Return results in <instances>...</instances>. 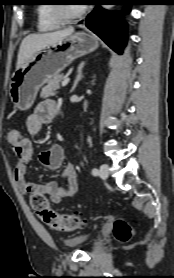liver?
Segmentation results:
<instances>
[{
  "mask_svg": "<svg viewBox=\"0 0 174 278\" xmlns=\"http://www.w3.org/2000/svg\"><path fill=\"white\" fill-rule=\"evenodd\" d=\"M74 32L73 27L49 33L30 34L26 36L20 45L16 70L26 63L40 49L55 44Z\"/></svg>",
  "mask_w": 174,
  "mask_h": 278,
  "instance_id": "1",
  "label": "liver"
}]
</instances>
